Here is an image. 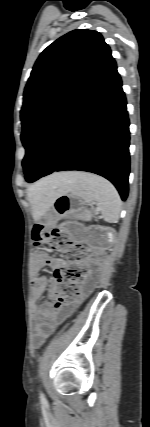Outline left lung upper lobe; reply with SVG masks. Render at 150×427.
I'll return each instance as SVG.
<instances>
[{"label":"left lung upper lobe","mask_w":150,"mask_h":427,"mask_svg":"<svg viewBox=\"0 0 150 427\" xmlns=\"http://www.w3.org/2000/svg\"><path fill=\"white\" fill-rule=\"evenodd\" d=\"M100 33L76 29L49 45L37 59L25 87L21 109V140L30 147L48 122L112 61Z\"/></svg>","instance_id":"left-lung-upper-lobe-1"}]
</instances>
